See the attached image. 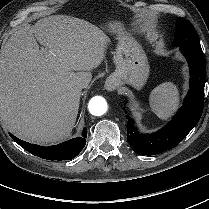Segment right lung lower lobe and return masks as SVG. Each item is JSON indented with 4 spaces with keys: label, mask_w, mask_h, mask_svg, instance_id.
<instances>
[{
    "label": "right lung lower lobe",
    "mask_w": 209,
    "mask_h": 209,
    "mask_svg": "<svg viewBox=\"0 0 209 209\" xmlns=\"http://www.w3.org/2000/svg\"><path fill=\"white\" fill-rule=\"evenodd\" d=\"M10 137L31 154L47 160H71L76 157L86 145L87 129L84 128L82 137L73 138L58 145L44 147L22 141L9 134Z\"/></svg>",
    "instance_id": "right-lung-lower-lobe-1"
}]
</instances>
